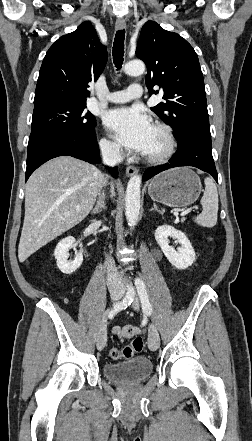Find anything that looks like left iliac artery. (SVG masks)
<instances>
[{"mask_svg":"<svg viewBox=\"0 0 252 441\" xmlns=\"http://www.w3.org/2000/svg\"><path fill=\"white\" fill-rule=\"evenodd\" d=\"M135 284H136V287H137L138 295H139L141 303H142L143 312L148 314V315H151L152 314V306H151V304L149 302V299H148V295H147V291H146V288H145V284L139 278H137L135 280Z\"/></svg>","mask_w":252,"mask_h":441,"instance_id":"1","label":"left iliac artery"}]
</instances>
